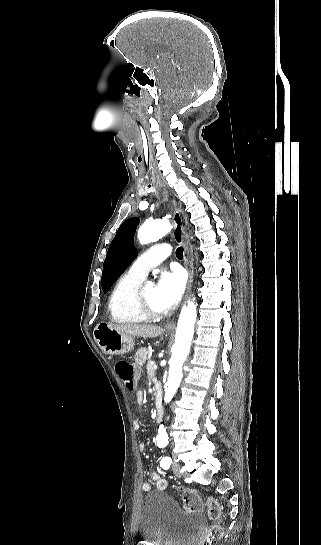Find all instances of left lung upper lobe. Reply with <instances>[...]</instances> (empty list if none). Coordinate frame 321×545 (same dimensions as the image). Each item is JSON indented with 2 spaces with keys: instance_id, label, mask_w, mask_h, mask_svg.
Instances as JSON below:
<instances>
[{
  "instance_id": "obj_1",
  "label": "left lung upper lobe",
  "mask_w": 321,
  "mask_h": 545,
  "mask_svg": "<svg viewBox=\"0 0 321 545\" xmlns=\"http://www.w3.org/2000/svg\"><path fill=\"white\" fill-rule=\"evenodd\" d=\"M139 224L136 217L123 222L112 240L103 264L102 289L106 293L136 257L133 244Z\"/></svg>"
}]
</instances>
